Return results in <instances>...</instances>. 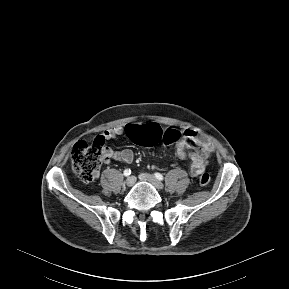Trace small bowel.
I'll return each mask as SVG.
<instances>
[{
    "mask_svg": "<svg viewBox=\"0 0 289 289\" xmlns=\"http://www.w3.org/2000/svg\"><path fill=\"white\" fill-rule=\"evenodd\" d=\"M124 133V128L117 126L107 129L102 132L100 137L105 140H111ZM214 152V145L210 139L196 132L188 129L183 133L182 139L176 144V156L184 160L190 159V174L193 177L200 175L206 169L208 159ZM134 159V153L129 148L121 150H114L112 148H104L103 162L110 163L111 160L121 161L123 163H131Z\"/></svg>",
    "mask_w": 289,
    "mask_h": 289,
    "instance_id": "small-bowel-1",
    "label": "small bowel"
}]
</instances>
